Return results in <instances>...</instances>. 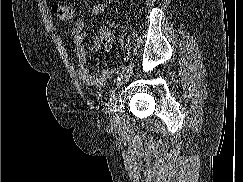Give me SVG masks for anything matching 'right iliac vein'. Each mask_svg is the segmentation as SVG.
Here are the masks:
<instances>
[{"mask_svg":"<svg viewBox=\"0 0 243 182\" xmlns=\"http://www.w3.org/2000/svg\"><path fill=\"white\" fill-rule=\"evenodd\" d=\"M131 73H132V65L129 66L125 76L118 83V85H117L118 89L129 79ZM116 107H117V90H116V92H114L113 96L111 97L110 105H109V112H110V116H111V123H112L113 126L117 125Z\"/></svg>","mask_w":243,"mask_h":182,"instance_id":"obj_1","label":"right iliac vein"}]
</instances>
